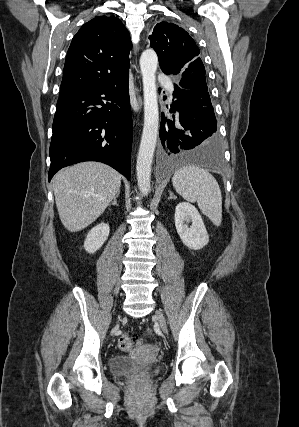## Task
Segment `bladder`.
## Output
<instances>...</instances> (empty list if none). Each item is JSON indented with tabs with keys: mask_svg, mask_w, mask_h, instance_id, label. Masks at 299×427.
<instances>
[{
	"mask_svg": "<svg viewBox=\"0 0 299 427\" xmlns=\"http://www.w3.org/2000/svg\"><path fill=\"white\" fill-rule=\"evenodd\" d=\"M141 368H144L150 374H154L160 371L161 366L158 363L150 366H142L131 356L124 354H117L110 360V371L112 375L117 377L128 376Z\"/></svg>",
	"mask_w": 299,
	"mask_h": 427,
	"instance_id": "1",
	"label": "bladder"
}]
</instances>
